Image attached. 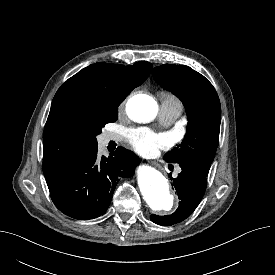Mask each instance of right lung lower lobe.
Returning a JSON list of instances; mask_svg holds the SVG:
<instances>
[{"mask_svg":"<svg viewBox=\"0 0 275 275\" xmlns=\"http://www.w3.org/2000/svg\"><path fill=\"white\" fill-rule=\"evenodd\" d=\"M139 158L119 147L109 157L97 156V147L88 148L46 176L55 206L79 220L106 212L120 177H131Z\"/></svg>","mask_w":275,"mask_h":275,"instance_id":"right-lung-lower-lobe-1","label":"right lung lower lobe"}]
</instances>
